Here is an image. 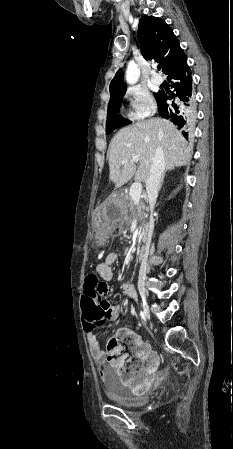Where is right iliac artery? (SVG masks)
I'll list each match as a JSON object with an SVG mask.
<instances>
[{"instance_id": "obj_1", "label": "right iliac artery", "mask_w": 233, "mask_h": 449, "mask_svg": "<svg viewBox=\"0 0 233 449\" xmlns=\"http://www.w3.org/2000/svg\"><path fill=\"white\" fill-rule=\"evenodd\" d=\"M140 316L145 321V315H144V313L142 311L140 312Z\"/></svg>"}]
</instances>
